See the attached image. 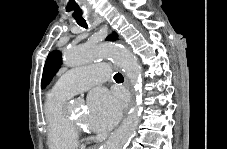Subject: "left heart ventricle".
<instances>
[{
	"label": "left heart ventricle",
	"instance_id": "1",
	"mask_svg": "<svg viewBox=\"0 0 227 149\" xmlns=\"http://www.w3.org/2000/svg\"><path fill=\"white\" fill-rule=\"evenodd\" d=\"M85 118H86V115L84 113H81L78 116L74 117V120L78 122H83Z\"/></svg>",
	"mask_w": 227,
	"mask_h": 149
}]
</instances>
